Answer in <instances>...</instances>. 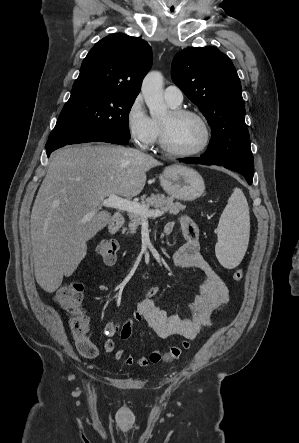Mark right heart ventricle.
<instances>
[{
	"label": "right heart ventricle",
	"mask_w": 299,
	"mask_h": 443,
	"mask_svg": "<svg viewBox=\"0 0 299 443\" xmlns=\"http://www.w3.org/2000/svg\"><path fill=\"white\" fill-rule=\"evenodd\" d=\"M170 106H171V105H170ZM171 107L175 108L174 106H171ZM154 122H155V124H156V126H157V130H158V134H159V123L156 122V121H154ZM157 137H158V135H157Z\"/></svg>",
	"instance_id": "1"
}]
</instances>
